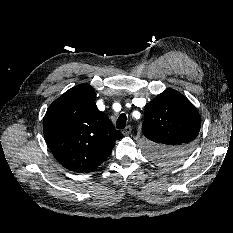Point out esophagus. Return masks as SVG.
I'll use <instances>...</instances> for the list:
<instances>
[{"label":"esophagus","instance_id":"1","mask_svg":"<svg viewBox=\"0 0 233 233\" xmlns=\"http://www.w3.org/2000/svg\"><path fill=\"white\" fill-rule=\"evenodd\" d=\"M131 130H132L131 126H127V127L123 130V134H124L125 136H127V135H129V134L131 133Z\"/></svg>","mask_w":233,"mask_h":233}]
</instances>
